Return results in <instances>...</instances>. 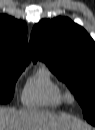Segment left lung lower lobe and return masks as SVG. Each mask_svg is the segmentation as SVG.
I'll use <instances>...</instances> for the list:
<instances>
[{
	"mask_svg": "<svg viewBox=\"0 0 95 130\" xmlns=\"http://www.w3.org/2000/svg\"><path fill=\"white\" fill-rule=\"evenodd\" d=\"M88 122H89V121H88ZM89 123H91V124L95 125V121H91V122H89Z\"/></svg>",
	"mask_w": 95,
	"mask_h": 130,
	"instance_id": "1",
	"label": "left lung lower lobe"
}]
</instances>
